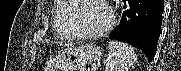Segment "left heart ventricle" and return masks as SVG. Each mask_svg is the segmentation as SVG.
Segmentation results:
<instances>
[{"label":"left heart ventricle","instance_id":"obj_1","mask_svg":"<svg viewBox=\"0 0 181 71\" xmlns=\"http://www.w3.org/2000/svg\"><path fill=\"white\" fill-rule=\"evenodd\" d=\"M81 11L78 16V25L87 32L103 30L110 21V11L101 0H78Z\"/></svg>","mask_w":181,"mask_h":71}]
</instances>
